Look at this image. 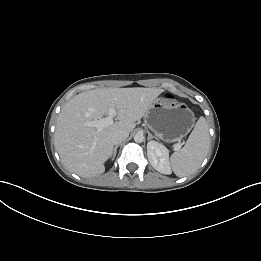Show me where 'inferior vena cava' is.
<instances>
[{
  "instance_id": "obj_1",
  "label": "inferior vena cava",
  "mask_w": 261,
  "mask_h": 261,
  "mask_svg": "<svg viewBox=\"0 0 261 261\" xmlns=\"http://www.w3.org/2000/svg\"><path fill=\"white\" fill-rule=\"evenodd\" d=\"M129 136V133L127 131H115L111 135V142L114 145L120 144L122 141H124Z\"/></svg>"
}]
</instances>
